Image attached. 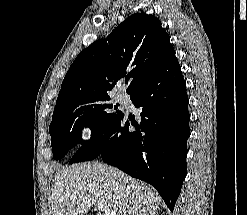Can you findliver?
Returning <instances> with one entry per match:
<instances>
[{
	"instance_id": "obj_1",
	"label": "liver",
	"mask_w": 247,
	"mask_h": 215,
	"mask_svg": "<svg viewBox=\"0 0 247 215\" xmlns=\"http://www.w3.org/2000/svg\"><path fill=\"white\" fill-rule=\"evenodd\" d=\"M160 198L143 182L99 163H83L59 170L50 203L52 215H84L101 204L97 215H155Z\"/></svg>"
}]
</instances>
